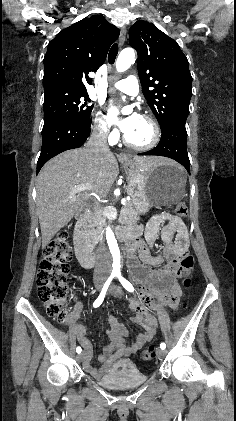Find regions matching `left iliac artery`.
<instances>
[{
    "label": "left iliac artery",
    "instance_id": "44dca946",
    "mask_svg": "<svg viewBox=\"0 0 236 421\" xmlns=\"http://www.w3.org/2000/svg\"><path fill=\"white\" fill-rule=\"evenodd\" d=\"M116 276H117V278L119 279V281H120V283L122 284V286L127 290V291H129V292H133L134 291V287L132 286V284L129 282V281H127L125 278H123L122 276H121V273H117L116 274ZM160 348L161 349H165L166 348V345H165V343H161L160 344Z\"/></svg>",
    "mask_w": 236,
    "mask_h": 421
}]
</instances>
